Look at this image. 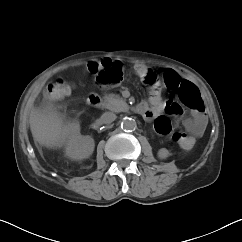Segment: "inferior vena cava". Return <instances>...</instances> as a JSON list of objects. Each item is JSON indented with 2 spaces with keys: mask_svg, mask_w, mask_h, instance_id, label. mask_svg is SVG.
Here are the masks:
<instances>
[{
  "mask_svg": "<svg viewBox=\"0 0 242 242\" xmlns=\"http://www.w3.org/2000/svg\"><path fill=\"white\" fill-rule=\"evenodd\" d=\"M116 119V115L113 112H105L101 115L100 120L104 124H110Z\"/></svg>",
  "mask_w": 242,
  "mask_h": 242,
  "instance_id": "602c4592",
  "label": "inferior vena cava"
}]
</instances>
